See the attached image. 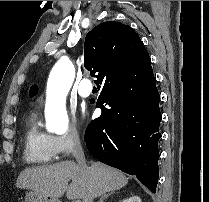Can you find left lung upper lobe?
<instances>
[{"label": "left lung upper lobe", "instance_id": "left-lung-upper-lobe-1", "mask_svg": "<svg viewBox=\"0 0 209 202\" xmlns=\"http://www.w3.org/2000/svg\"><path fill=\"white\" fill-rule=\"evenodd\" d=\"M37 92H38V88H37V86H32L31 87V89H30V94H31V96H34V95H36L37 94Z\"/></svg>", "mask_w": 209, "mask_h": 202}]
</instances>
